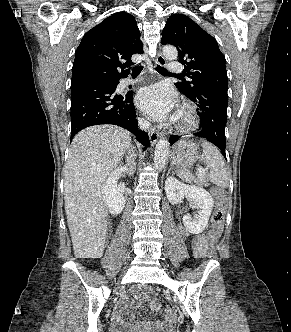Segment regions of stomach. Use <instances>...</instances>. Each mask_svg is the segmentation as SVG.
I'll use <instances>...</instances> for the list:
<instances>
[{"label":"stomach","instance_id":"obj_1","mask_svg":"<svg viewBox=\"0 0 291 332\" xmlns=\"http://www.w3.org/2000/svg\"><path fill=\"white\" fill-rule=\"evenodd\" d=\"M198 157V147L195 143L179 141L174 146L171 162L178 168L186 169L192 166Z\"/></svg>","mask_w":291,"mask_h":332}]
</instances>
